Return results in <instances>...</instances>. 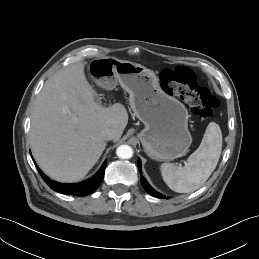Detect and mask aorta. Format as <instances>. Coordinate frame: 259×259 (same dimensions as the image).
Wrapping results in <instances>:
<instances>
[{"label": "aorta", "mask_w": 259, "mask_h": 259, "mask_svg": "<svg viewBox=\"0 0 259 259\" xmlns=\"http://www.w3.org/2000/svg\"><path fill=\"white\" fill-rule=\"evenodd\" d=\"M116 154L121 159H129L133 155V150L128 145H121L116 149Z\"/></svg>", "instance_id": "1"}]
</instances>
